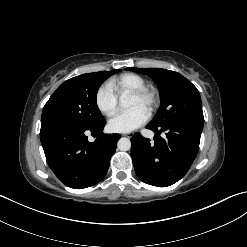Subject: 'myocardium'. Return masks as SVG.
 <instances>
[{"instance_id":"myocardium-1","label":"myocardium","mask_w":247,"mask_h":247,"mask_svg":"<svg viewBox=\"0 0 247 247\" xmlns=\"http://www.w3.org/2000/svg\"><path fill=\"white\" fill-rule=\"evenodd\" d=\"M130 96L143 101L146 105V111L149 114L154 112L160 100L158 91L155 88L149 86L132 91Z\"/></svg>"}]
</instances>
